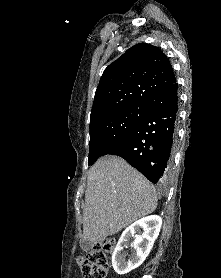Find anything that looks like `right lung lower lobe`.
Wrapping results in <instances>:
<instances>
[{"label": "right lung lower lobe", "instance_id": "98d812e1", "mask_svg": "<svg viewBox=\"0 0 221 278\" xmlns=\"http://www.w3.org/2000/svg\"><path fill=\"white\" fill-rule=\"evenodd\" d=\"M146 104L148 112L139 123L101 156L118 155L157 183L166 178L170 168L178 116V84L174 82L153 93Z\"/></svg>", "mask_w": 221, "mask_h": 278}]
</instances>
